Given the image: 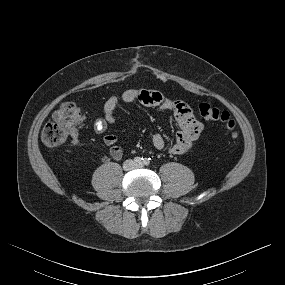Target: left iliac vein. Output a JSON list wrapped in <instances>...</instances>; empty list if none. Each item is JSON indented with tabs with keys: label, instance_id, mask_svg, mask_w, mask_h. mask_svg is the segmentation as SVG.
<instances>
[{
	"label": "left iliac vein",
	"instance_id": "left-iliac-vein-1",
	"mask_svg": "<svg viewBox=\"0 0 285 285\" xmlns=\"http://www.w3.org/2000/svg\"><path fill=\"white\" fill-rule=\"evenodd\" d=\"M136 167L140 168L142 167V164H137Z\"/></svg>",
	"mask_w": 285,
	"mask_h": 285
}]
</instances>
